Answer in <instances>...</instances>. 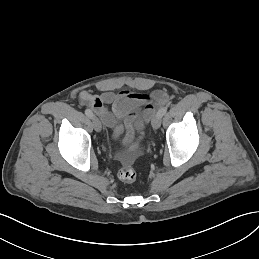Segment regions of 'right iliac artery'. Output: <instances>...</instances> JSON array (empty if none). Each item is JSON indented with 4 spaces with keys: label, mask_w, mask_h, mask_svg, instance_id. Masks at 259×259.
Listing matches in <instances>:
<instances>
[{
    "label": "right iliac artery",
    "mask_w": 259,
    "mask_h": 259,
    "mask_svg": "<svg viewBox=\"0 0 259 259\" xmlns=\"http://www.w3.org/2000/svg\"><path fill=\"white\" fill-rule=\"evenodd\" d=\"M85 114L89 117V118H93V113H92V111L90 110V109H86L85 110Z\"/></svg>",
    "instance_id": "1"
}]
</instances>
